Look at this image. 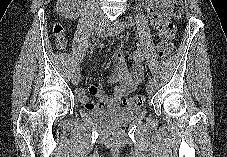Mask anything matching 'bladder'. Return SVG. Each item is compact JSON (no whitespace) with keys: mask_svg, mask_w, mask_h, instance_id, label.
Masks as SVG:
<instances>
[{"mask_svg":"<svg viewBox=\"0 0 227 157\" xmlns=\"http://www.w3.org/2000/svg\"><path fill=\"white\" fill-rule=\"evenodd\" d=\"M89 113L95 120L106 126H119L137 118L142 113V109L137 106L115 105L91 110Z\"/></svg>","mask_w":227,"mask_h":157,"instance_id":"31cf9c89","label":"bladder"}]
</instances>
